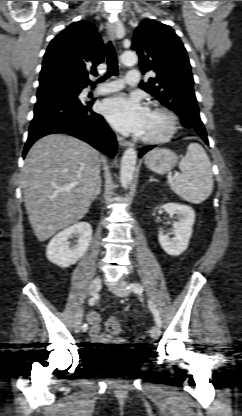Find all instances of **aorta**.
<instances>
[{"label": "aorta", "instance_id": "1", "mask_svg": "<svg viewBox=\"0 0 242 416\" xmlns=\"http://www.w3.org/2000/svg\"><path fill=\"white\" fill-rule=\"evenodd\" d=\"M137 55L133 51H125L121 55V62L125 65H132L136 63ZM137 152L130 147L125 150L120 166V182L124 189H127L133 180L135 166H136Z\"/></svg>", "mask_w": 242, "mask_h": 416}]
</instances>
